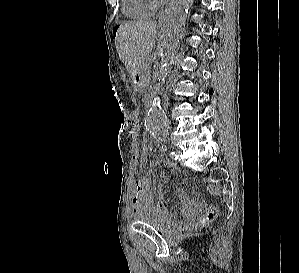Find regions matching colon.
<instances>
[{
    "mask_svg": "<svg viewBox=\"0 0 299 273\" xmlns=\"http://www.w3.org/2000/svg\"><path fill=\"white\" fill-rule=\"evenodd\" d=\"M141 147L142 149H148L149 145H148V139L146 137H142L141 140ZM218 215V209L215 206H210L207 208L205 216L203 218V222H211L213 221Z\"/></svg>",
    "mask_w": 299,
    "mask_h": 273,
    "instance_id": "colon-1",
    "label": "colon"
}]
</instances>
